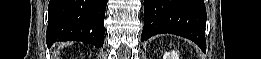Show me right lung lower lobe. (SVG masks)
<instances>
[{"instance_id":"obj_1","label":"right lung lower lobe","mask_w":261,"mask_h":59,"mask_svg":"<svg viewBox=\"0 0 261 59\" xmlns=\"http://www.w3.org/2000/svg\"><path fill=\"white\" fill-rule=\"evenodd\" d=\"M107 0H50L47 45L82 41L101 47Z\"/></svg>"}]
</instances>
